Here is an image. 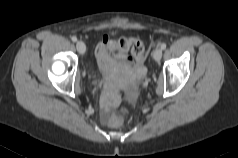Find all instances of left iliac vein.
I'll use <instances>...</instances> for the list:
<instances>
[{
    "mask_svg": "<svg viewBox=\"0 0 238 158\" xmlns=\"http://www.w3.org/2000/svg\"><path fill=\"white\" fill-rule=\"evenodd\" d=\"M162 57V49L161 48H157L154 53H153V58L156 60V61H159Z\"/></svg>",
    "mask_w": 238,
    "mask_h": 158,
    "instance_id": "left-iliac-vein-1",
    "label": "left iliac vein"
}]
</instances>
